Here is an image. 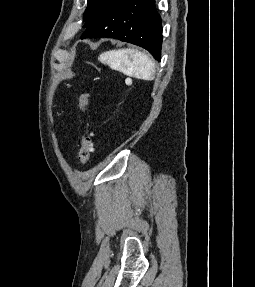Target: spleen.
Segmentation results:
<instances>
[{
	"label": "spleen",
	"mask_w": 255,
	"mask_h": 287,
	"mask_svg": "<svg viewBox=\"0 0 255 287\" xmlns=\"http://www.w3.org/2000/svg\"><path fill=\"white\" fill-rule=\"evenodd\" d=\"M102 64H107L112 70H122L131 78L138 80H154V62L136 50H111L99 56Z\"/></svg>",
	"instance_id": "obj_1"
}]
</instances>
